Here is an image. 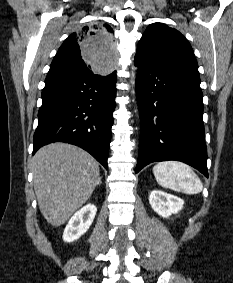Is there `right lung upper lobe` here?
Here are the masks:
<instances>
[{
	"instance_id": "cb5924a9",
	"label": "right lung upper lobe",
	"mask_w": 233,
	"mask_h": 283,
	"mask_svg": "<svg viewBox=\"0 0 233 283\" xmlns=\"http://www.w3.org/2000/svg\"><path fill=\"white\" fill-rule=\"evenodd\" d=\"M112 34L108 24L84 26L72 33L60 46L47 77L113 70L110 59H116L117 44L110 43H117V38H111Z\"/></svg>"
}]
</instances>
